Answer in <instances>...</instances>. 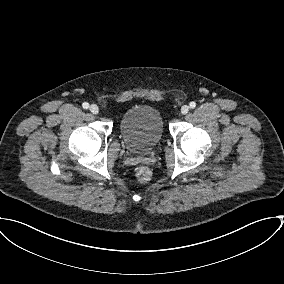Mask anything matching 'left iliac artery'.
<instances>
[{"mask_svg":"<svg viewBox=\"0 0 284 284\" xmlns=\"http://www.w3.org/2000/svg\"><path fill=\"white\" fill-rule=\"evenodd\" d=\"M189 106H190V108H195L196 107V103L193 101V102H190V104H189Z\"/></svg>","mask_w":284,"mask_h":284,"instance_id":"left-iliac-artery-1","label":"left iliac artery"}]
</instances>
